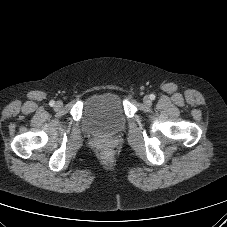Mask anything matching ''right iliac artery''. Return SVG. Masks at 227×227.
<instances>
[{
	"mask_svg": "<svg viewBox=\"0 0 227 227\" xmlns=\"http://www.w3.org/2000/svg\"><path fill=\"white\" fill-rule=\"evenodd\" d=\"M49 105H50L51 107H53V106L55 105V101L51 100V101L49 102Z\"/></svg>",
	"mask_w": 227,
	"mask_h": 227,
	"instance_id": "right-iliac-artery-1",
	"label": "right iliac artery"
}]
</instances>
